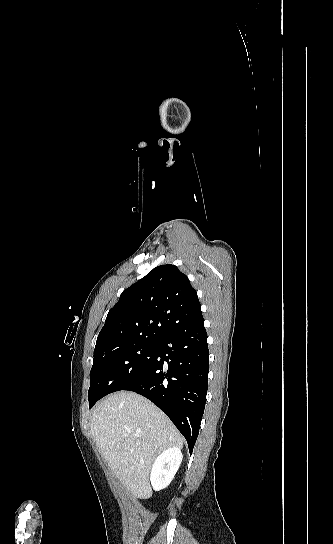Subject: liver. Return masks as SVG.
Segmentation results:
<instances>
[{
  "label": "liver",
  "instance_id": "6515ba94",
  "mask_svg": "<svg viewBox=\"0 0 333 544\" xmlns=\"http://www.w3.org/2000/svg\"><path fill=\"white\" fill-rule=\"evenodd\" d=\"M91 432L114 475L136 497H150L152 463L163 451L182 448L183 438L152 402L133 392H117L94 410Z\"/></svg>",
  "mask_w": 333,
  "mask_h": 544
}]
</instances>
